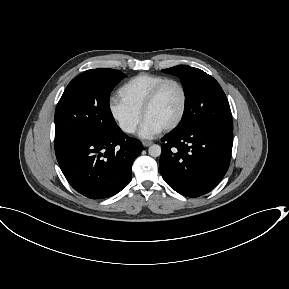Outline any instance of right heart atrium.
Instances as JSON below:
<instances>
[{
    "label": "right heart atrium",
    "mask_w": 289,
    "mask_h": 289,
    "mask_svg": "<svg viewBox=\"0 0 289 289\" xmlns=\"http://www.w3.org/2000/svg\"><path fill=\"white\" fill-rule=\"evenodd\" d=\"M109 111L119 128L126 134L136 131L140 121L141 113L136 111L120 100L112 98L109 102Z\"/></svg>",
    "instance_id": "d8ad5b80"
}]
</instances>
